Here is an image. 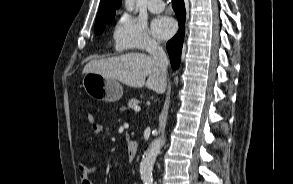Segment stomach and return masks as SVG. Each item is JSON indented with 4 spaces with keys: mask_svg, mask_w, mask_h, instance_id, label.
I'll return each mask as SVG.
<instances>
[{
    "mask_svg": "<svg viewBox=\"0 0 293 184\" xmlns=\"http://www.w3.org/2000/svg\"><path fill=\"white\" fill-rule=\"evenodd\" d=\"M83 87L90 97L99 101L116 102L123 95V87L118 80L99 73H85Z\"/></svg>",
    "mask_w": 293,
    "mask_h": 184,
    "instance_id": "0dacf381",
    "label": "stomach"
}]
</instances>
